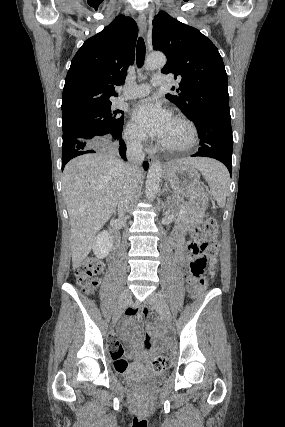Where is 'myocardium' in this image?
<instances>
[{"instance_id":"1","label":"myocardium","mask_w":285,"mask_h":427,"mask_svg":"<svg viewBox=\"0 0 285 427\" xmlns=\"http://www.w3.org/2000/svg\"><path fill=\"white\" fill-rule=\"evenodd\" d=\"M174 119L182 122L186 125L189 130L190 140L187 144L182 146H174L162 141V146L172 152H187L194 148L199 143V135L196 125L186 116L181 114H176L173 116Z\"/></svg>"}]
</instances>
